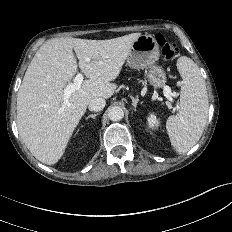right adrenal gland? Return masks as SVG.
<instances>
[{"mask_svg": "<svg viewBox=\"0 0 232 232\" xmlns=\"http://www.w3.org/2000/svg\"><path fill=\"white\" fill-rule=\"evenodd\" d=\"M97 115H98V113L90 114V115H88V116L86 117V120H88L89 118L95 119Z\"/></svg>", "mask_w": 232, "mask_h": 232, "instance_id": "1", "label": "right adrenal gland"}]
</instances>
